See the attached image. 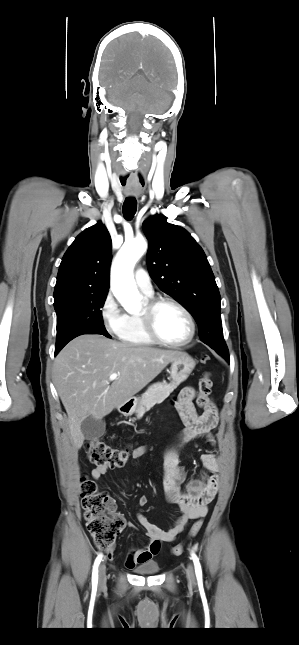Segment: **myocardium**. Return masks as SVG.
<instances>
[{
  "label": "myocardium",
  "instance_id": "1",
  "mask_svg": "<svg viewBox=\"0 0 299 645\" xmlns=\"http://www.w3.org/2000/svg\"><path fill=\"white\" fill-rule=\"evenodd\" d=\"M165 304H169L177 307L186 316L189 323L190 330H189L188 336L185 339L181 341H169L162 338L158 334L155 326V315L158 308ZM140 318L147 335L155 343H158L164 346H169V347L184 346L193 340L196 333V323L192 313L181 302L171 297H156V298L147 300L142 311L140 312Z\"/></svg>",
  "mask_w": 299,
  "mask_h": 645
}]
</instances>
